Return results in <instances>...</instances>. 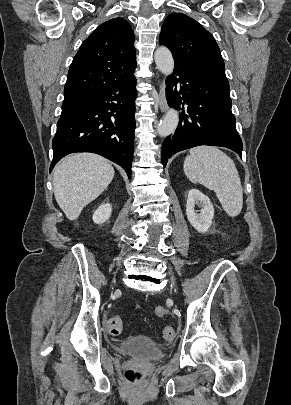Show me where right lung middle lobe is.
Masks as SVG:
<instances>
[{"instance_id":"dd1d6c3e","label":"right lung middle lobe","mask_w":291,"mask_h":405,"mask_svg":"<svg viewBox=\"0 0 291 405\" xmlns=\"http://www.w3.org/2000/svg\"><path fill=\"white\" fill-rule=\"evenodd\" d=\"M80 103L62 104L61 116H64L73 111Z\"/></svg>"}]
</instances>
